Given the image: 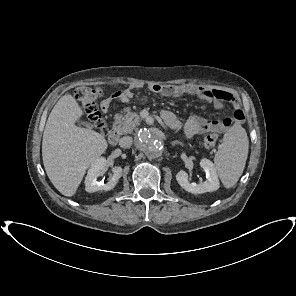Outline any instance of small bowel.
Masks as SVG:
<instances>
[{
    "label": "small bowel",
    "mask_w": 296,
    "mask_h": 296,
    "mask_svg": "<svg viewBox=\"0 0 296 296\" xmlns=\"http://www.w3.org/2000/svg\"><path fill=\"white\" fill-rule=\"evenodd\" d=\"M139 85H133L128 89L118 91L111 97L105 99L102 104V110L107 111L114 101L128 102L134 95L133 90L138 89ZM149 89L166 97H180L184 95L197 96L207 102L212 103L217 109H222L224 103H230L233 107V114L229 117L219 120H208L197 115L190 117L184 124L183 132L185 137L192 138L195 135L209 131L224 132L231 125L241 123L244 120V113L240 107L237 98L230 92L220 89H211L192 83L182 85H160L150 84ZM162 118L171 128L176 129L180 123L175 114L169 110L162 112Z\"/></svg>",
    "instance_id": "obj_1"
}]
</instances>
